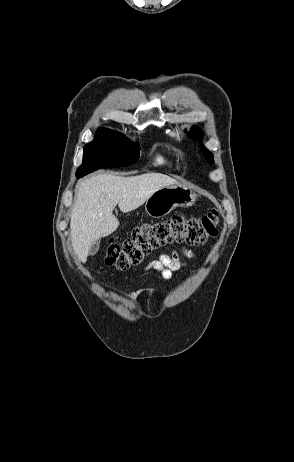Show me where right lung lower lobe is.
<instances>
[{"label": "right lung lower lobe", "mask_w": 294, "mask_h": 462, "mask_svg": "<svg viewBox=\"0 0 294 462\" xmlns=\"http://www.w3.org/2000/svg\"><path fill=\"white\" fill-rule=\"evenodd\" d=\"M118 163L116 158L113 156L106 154V153H98L95 156L92 157L91 159V167L87 171L88 173H91L99 168H112V167H117ZM86 175V173L77 176V178L83 177Z\"/></svg>", "instance_id": "right-lung-lower-lobe-1"}]
</instances>
